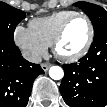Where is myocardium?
Listing matches in <instances>:
<instances>
[{"mask_svg": "<svg viewBox=\"0 0 107 107\" xmlns=\"http://www.w3.org/2000/svg\"><path fill=\"white\" fill-rule=\"evenodd\" d=\"M76 18H82L87 22L88 27H89L88 39H87L85 45L83 46V48L79 52H77L73 55H63L58 51V46H59L60 42L62 41V39L64 37V34H65V31H66L67 27ZM94 33L95 32H94L93 23L87 15H85L83 13L73 14L72 16H70L69 18H67L63 22V24L61 25V27L59 28V30L57 31V33H56V35L53 39V42H52L51 46H52V50H53L54 55L58 59H60L61 61H64V62L71 63V62L78 61L83 56H85L87 54V52L89 51V49H90V47L93 43V40H94Z\"/></svg>", "mask_w": 107, "mask_h": 107, "instance_id": "obj_1", "label": "myocardium"}]
</instances>
